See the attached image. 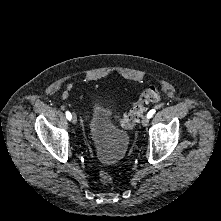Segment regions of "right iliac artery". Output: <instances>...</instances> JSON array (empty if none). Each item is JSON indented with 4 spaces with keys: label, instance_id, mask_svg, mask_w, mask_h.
<instances>
[{
    "label": "right iliac artery",
    "instance_id": "obj_1",
    "mask_svg": "<svg viewBox=\"0 0 221 221\" xmlns=\"http://www.w3.org/2000/svg\"><path fill=\"white\" fill-rule=\"evenodd\" d=\"M71 113L69 112V111H67L66 112V118L68 119V120H71Z\"/></svg>",
    "mask_w": 221,
    "mask_h": 221
}]
</instances>
